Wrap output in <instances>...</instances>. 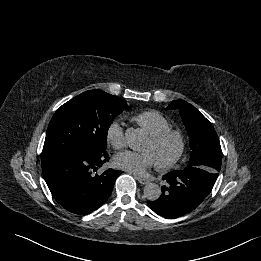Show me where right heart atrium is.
Here are the masks:
<instances>
[{"label":"right heart atrium","mask_w":261,"mask_h":261,"mask_svg":"<svg viewBox=\"0 0 261 261\" xmlns=\"http://www.w3.org/2000/svg\"><path fill=\"white\" fill-rule=\"evenodd\" d=\"M106 140L115 149H121L125 146L124 132L119 121L114 120L108 125Z\"/></svg>","instance_id":"1"}]
</instances>
